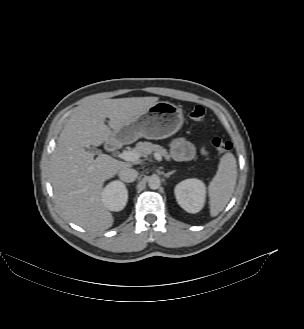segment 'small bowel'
Listing matches in <instances>:
<instances>
[{"mask_svg":"<svg viewBox=\"0 0 304 329\" xmlns=\"http://www.w3.org/2000/svg\"><path fill=\"white\" fill-rule=\"evenodd\" d=\"M171 154L177 161H189L195 156V148L190 141L180 139L171 144Z\"/></svg>","mask_w":304,"mask_h":329,"instance_id":"c3829d8e","label":"small bowel"}]
</instances>
